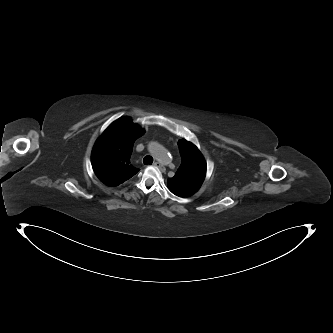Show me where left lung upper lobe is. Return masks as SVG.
Listing matches in <instances>:
<instances>
[{"mask_svg": "<svg viewBox=\"0 0 333 333\" xmlns=\"http://www.w3.org/2000/svg\"><path fill=\"white\" fill-rule=\"evenodd\" d=\"M182 162L176 174L167 180L169 190L180 197L193 195L206 175V162L199 149L189 141L178 142Z\"/></svg>", "mask_w": 333, "mask_h": 333, "instance_id": "left-lung-upper-lobe-1", "label": "left lung upper lobe"}]
</instances>
